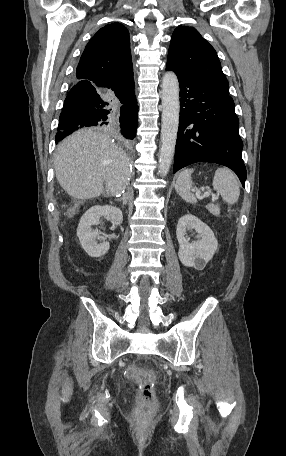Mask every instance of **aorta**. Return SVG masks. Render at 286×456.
<instances>
[{
    "instance_id": "1",
    "label": "aorta",
    "mask_w": 286,
    "mask_h": 456,
    "mask_svg": "<svg viewBox=\"0 0 286 456\" xmlns=\"http://www.w3.org/2000/svg\"><path fill=\"white\" fill-rule=\"evenodd\" d=\"M179 113V82L176 74L168 71L162 78V126L159 173L163 176H166L169 172L173 160L179 126Z\"/></svg>"
}]
</instances>
